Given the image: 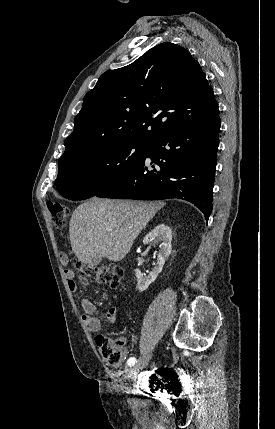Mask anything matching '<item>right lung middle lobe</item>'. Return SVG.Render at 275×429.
<instances>
[{"label":"right lung middle lobe","mask_w":275,"mask_h":429,"mask_svg":"<svg viewBox=\"0 0 275 429\" xmlns=\"http://www.w3.org/2000/svg\"><path fill=\"white\" fill-rule=\"evenodd\" d=\"M147 143H119L107 146L59 165L55 185L67 199L96 196L137 167L145 156Z\"/></svg>","instance_id":"obj_1"}]
</instances>
